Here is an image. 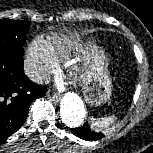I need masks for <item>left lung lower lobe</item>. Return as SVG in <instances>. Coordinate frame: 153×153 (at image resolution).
Segmentation results:
<instances>
[{
  "label": "left lung lower lobe",
  "instance_id": "left-lung-lower-lobe-1",
  "mask_svg": "<svg viewBox=\"0 0 153 153\" xmlns=\"http://www.w3.org/2000/svg\"><path fill=\"white\" fill-rule=\"evenodd\" d=\"M71 131L75 136L88 141L101 139L104 136L101 132L93 131L88 122L79 128L71 129Z\"/></svg>",
  "mask_w": 153,
  "mask_h": 153
}]
</instances>
